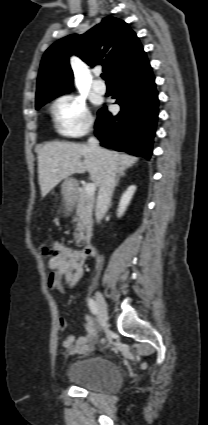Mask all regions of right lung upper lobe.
<instances>
[{"instance_id":"cb5924a9","label":"right lung upper lobe","mask_w":208,"mask_h":425,"mask_svg":"<svg viewBox=\"0 0 208 425\" xmlns=\"http://www.w3.org/2000/svg\"><path fill=\"white\" fill-rule=\"evenodd\" d=\"M72 55L89 66L103 65L111 80L146 57L139 39L127 23L114 17L103 18L85 34L66 36L46 50L37 80L36 104L44 96L73 89V72L69 64Z\"/></svg>"}]
</instances>
